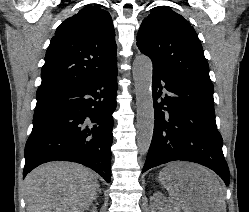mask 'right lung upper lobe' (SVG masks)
I'll return each instance as SVG.
<instances>
[{"instance_id":"right-lung-upper-lobe-1","label":"right lung upper lobe","mask_w":249,"mask_h":212,"mask_svg":"<svg viewBox=\"0 0 249 212\" xmlns=\"http://www.w3.org/2000/svg\"><path fill=\"white\" fill-rule=\"evenodd\" d=\"M102 6H86L56 30L37 94L91 80L117 65L115 31Z\"/></svg>"}]
</instances>
